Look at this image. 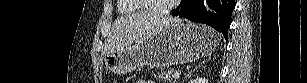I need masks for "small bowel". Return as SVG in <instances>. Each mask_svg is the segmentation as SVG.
Here are the masks:
<instances>
[{
  "label": "small bowel",
  "mask_w": 307,
  "mask_h": 83,
  "mask_svg": "<svg viewBox=\"0 0 307 83\" xmlns=\"http://www.w3.org/2000/svg\"><path fill=\"white\" fill-rule=\"evenodd\" d=\"M146 82H148V83H153L152 81H146Z\"/></svg>",
  "instance_id": "1"
}]
</instances>
